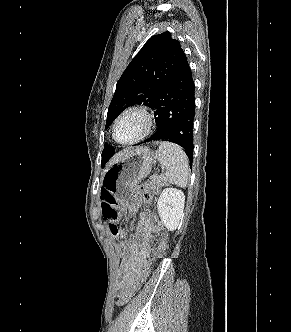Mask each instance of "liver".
Returning <instances> with one entry per match:
<instances>
[{"instance_id": "1", "label": "liver", "mask_w": 291, "mask_h": 332, "mask_svg": "<svg viewBox=\"0 0 291 332\" xmlns=\"http://www.w3.org/2000/svg\"><path fill=\"white\" fill-rule=\"evenodd\" d=\"M129 150H124L120 153H118L117 155L114 156V158L111 160L110 162V166L114 165L116 162H118V160Z\"/></svg>"}]
</instances>
